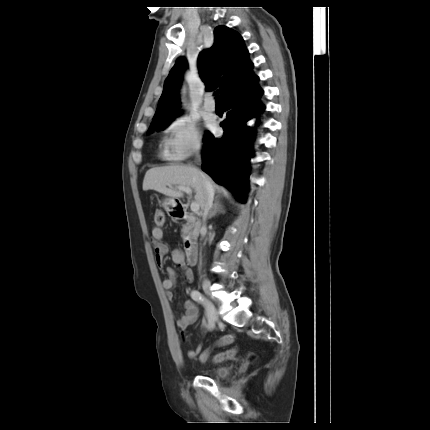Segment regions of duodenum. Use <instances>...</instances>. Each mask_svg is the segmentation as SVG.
<instances>
[{
  "mask_svg": "<svg viewBox=\"0 0 430 430\" xmlns=\"http://www.w3.org/2000/svg\"><path fill=\"white\" fill-rule=\"evenodd\" d=\"M185 215V208L182 205L178 204L174 208V216L178 219H182ZM185 257L189 265L193 266L196 264L198 257V248L197 244L192 240H188L185 244Z\"/></svg>",
  "mask_w": 430,
  "mask_h": 430,
  "instance_id": "obj_1",
  "label": "duodenum"
}]
</instances>
